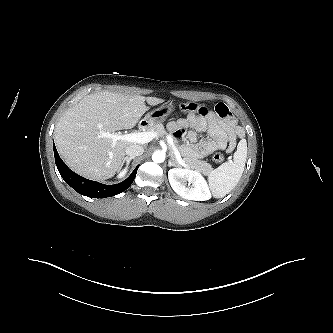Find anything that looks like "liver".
Segmentation results:
<instances>
[{
	"mask_svg": "<svg viewBox=\"0 0 333 333\" xmlns=\"http://www.w3.org/2000/svg\"><path fill=\"white\" fill-rule=\"evenodd\" d=\"M163 99L101 91L90 94L69 108L55 126V143L66 164L76 173L102 181L123 165L125 150L132 143L101 136L133 128L149 109Z\"/></svg>",
	"mask_w": 333,
	"mask_h": 333,
	"instance_id": "obj_1",
	"label": "liver"
}]
</instances>
